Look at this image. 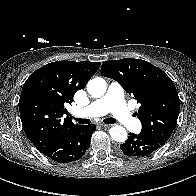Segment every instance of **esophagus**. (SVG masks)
<instances>
[{"label": "esophagus", "mask_w": 196, "mask_h": 196, "mask_svg": "<svg viewBox=\"0 0 196 196\" xmlns=\"http://www.w3.org/2000/svg\"><path fill=\"white\" fill-rule=\"evenodd\" d=\"M100 125H101V127H103V128H109V127L112 126L111 124H105V123H102V124H100Z\"/></svg>", "instance_id": "esophagus-1"}]
</instances>
